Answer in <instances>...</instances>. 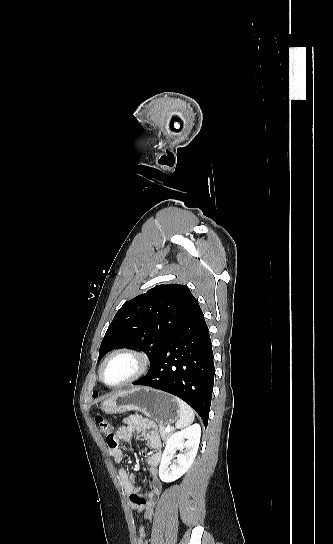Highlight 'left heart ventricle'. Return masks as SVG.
I'll return each instance as SVG.
<instances>
[{"instance_id": "1", "label": "left heart ventricle", "mask_w": 333, "mask_h": 544, "mask_svg": "<svg viewBox=\"0 0 333 544\" xmlns=\"http://www.w3.org/2000/svg\"><path fill=\"white\" fill-rule=\"evenodd\" d=\"M136 360L128 355H119L112 358L105 366L103 376L108 384H117L136 370Z\"/></svg>"}]
</instances>
